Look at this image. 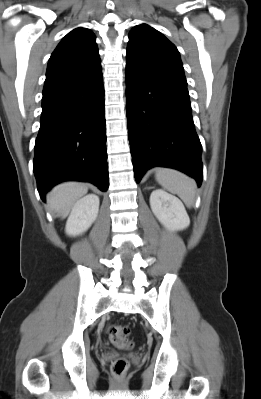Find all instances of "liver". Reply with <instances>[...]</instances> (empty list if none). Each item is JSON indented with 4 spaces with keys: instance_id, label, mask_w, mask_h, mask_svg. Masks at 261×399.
<instances>
[{
    "instance_id": "6515ba94",
    "label": "liver",
    "mask_w": 261,
    "mask_h": 399,
    "mask_svg": "<svg viewBox=\"0 0 261 399\" xmlns=\"http://www.w3.org/2000/svg\"><path fill=\"white\" fill-rule=\"evenodd\" d=\"M88 187L84 183L66 182L57 185L47 196V202L51 210L64 218L70 212L73 204L85 195Z\"/></svg>"
}]
</instances>
